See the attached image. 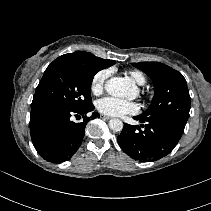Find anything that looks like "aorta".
I'll return each mask as SVG.
<instances>
[{
    "instance_id": "1",
    "label": "aorta",
    "mask_w": 211,
    "mask_h": 211,
    "mask_svg": "<svg viewBox=\"0 0 211 211\" xmlns=\"http://www.w3.org/2000/svg\"><path fill=\"white\" fill-rule=\"evenodd\" d=\"M131 82L122 77H113L105 84V90L109 95L115 97H125L131 87ZM109 128L115 132H120L123 129V123L119 119H111Z\"/></svg>"
}]
</instances>
